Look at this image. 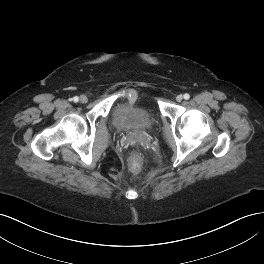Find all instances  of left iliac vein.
Here are the masks:
<instances>
[{
    "instance_id": "4c4485c4",
    "label": "left iliac vein",
    "mask_w": 264,
    "mask_h": 264,
    "mask_svg": "<svg viewBox=\"0 0 264 264\" xmlns=\"http://www.w3.org/2000/svg\"><path fill=\"white\" fill-rule=\"evenodd\" d=\"M183 100V96L180 94V95H177L176 97V101L177 102H181Z\"/></svg>"
}]
</instances>
